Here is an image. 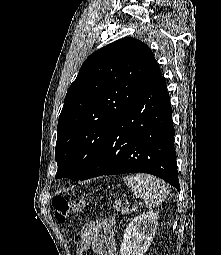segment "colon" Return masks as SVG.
Instances as JSON below:
<instances>
[{
	"label": "colon",
	"mask_w": 221,
	"mask_h": 255,
	"mask_svg": "<svg viewBox=\"0 0 221 255\" xmlns=\"http://www.w3.org/2000/svg\"><path fill=\"white\" fill-rule=\"evenodd\" d=\"M87 204L83 199L68 202L62 196H57L52 201L55 218L60 223H64L70 215L81 212Z\"/></svg>",
	"instance_id": "5ec220e1"
}]
</instances>
